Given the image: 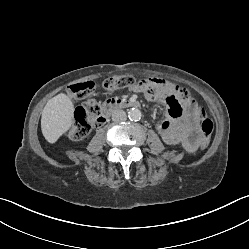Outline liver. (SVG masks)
<instances>
[{
	"label": "liver",
	"instance_id": "liver-1",
	"mask_svg": "<svg viewBox=\"0 0 249 249\" xmlns=\"http://www.w3.org/2000/svg\"><path fill=\"white\" fill-rule=\"evenodd\" d=\"M74 105L64 93L50 99L45 105L41 116V130L49 143H55L67 132L73 123Z\"/></svg>",
	"mask_w": 249,
	"mask_h": 249
}]
</instances>
